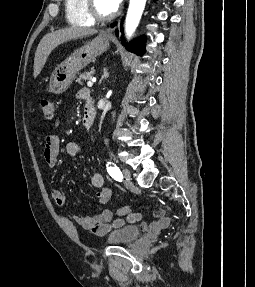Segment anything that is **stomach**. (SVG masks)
Masks as SVG:
<instances>
[{
	"instance_id": "1",
	"label": "stomach",
	"mask_w": 255,
	"mask_h": 287,
	"mask_svg": "<svg viewBox=\"0 0 255 287\" xmlns=\"http://www.w3.org/2000/svg\"><path fill=\"white\" fill-rule=\"evenodd\" d=\"M112 38L113 36H102V34H99L97 38L90 40V42H85L84 46L75 50L68 60L67 68L60 74L54 72L49 84L50 92H53V94L65 92L71 86L80 70H83L90 62H94L97 56H101L103 52L108 50L109 40H112Z\"/></svg>"
}]
</instances>
